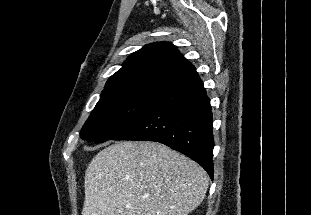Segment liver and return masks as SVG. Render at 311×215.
<instances>
[{"label": "liver", "instance_id": "6515ba94", "mask_svg": "<svg viewBox=\"0 0 311 215\" xmlns=\"http://www.w3.org/2000/svg\"><path fill=\"white\" fill-rule=\"evenodd\" d=\"M208 175L156 142H116L85 173L82 215H187L203 201Z\"/></svg>", "mask_w": 311, "mask_h": 215}]
</instances>
